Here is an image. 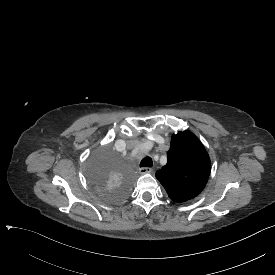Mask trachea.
I'll list each match as a JSON object with an SVG mask.
<instances>
[{
	"label": "trachea",
	"instance_id": "1",
	"mask_svg": "<svg viewBox=\"0 0 275 275\" xmlns=\"http://www.w3.org/2000/svg\"><path fill=\"white\" fill-rule=\"evenodd\" d=\"M152 166H153V162H152L151 157H149V156H146L140 162V167H152Z\"/></svg>",
	"mask_w": 275,
	"mask_h": 275
}]
</instances>
